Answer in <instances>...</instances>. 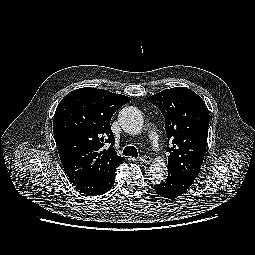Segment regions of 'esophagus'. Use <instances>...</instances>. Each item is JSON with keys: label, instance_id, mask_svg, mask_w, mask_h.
<instances>
[{"label": "esophagus", "instance_id": "esophagus-1", "mask_svg": "<svg viewBox=\"0 0 255 255\" xmlns=\"http://www.w3.org/2000/svg\"><path fill=\"white\" fill-rule=\"evenodd\" d=\"M140 160H141L143 163H145V164H150L151 161H152L151 157L148 156V155L142 156V157L140 158Z\"/></svg>", "mask_w": 255, "mask_h": 255}]
</instances>
